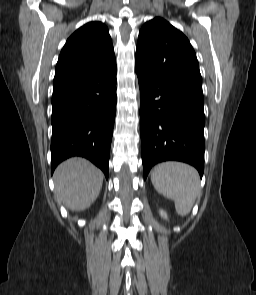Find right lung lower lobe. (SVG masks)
<instances>
[{"instance_id": "98d812e1", "label": "right lung lower lobe", "mask_w": 256, "mask_h": 295, "mask_svg": "<svg viewBox=\"0 0 256 295\" xmlns=\"http://www.w3.org/2000/svg\"><path fill=\"white\" fill-rule=\"evenodd\" d=\"M116 98V64L54 84L51 173L63 160L82 156L108 178Z\"/></svg>"}]
</instances>
